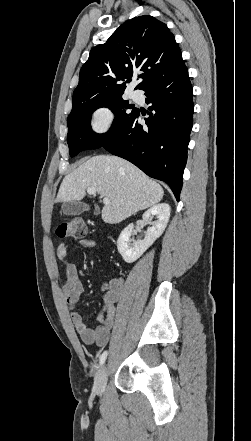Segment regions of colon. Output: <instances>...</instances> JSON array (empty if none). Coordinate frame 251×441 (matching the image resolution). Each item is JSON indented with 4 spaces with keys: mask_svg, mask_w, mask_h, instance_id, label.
<instances>
[{
    "mask_svg": "<svg viewBox=\"0 0 251 441\" xmlns=\"http://www.w3.org/2000/svg\"><path fill=\"white\" fill-rule=\"evenodd\" d=\"M56 233L61 238H84L89 230L85 221L75 217L58 225Z\"/></svg>",
    "mask_w": 251,
    "mask_h": 441,
    "instance_id": "1",
    "label": "colon"
}]
</instances>
